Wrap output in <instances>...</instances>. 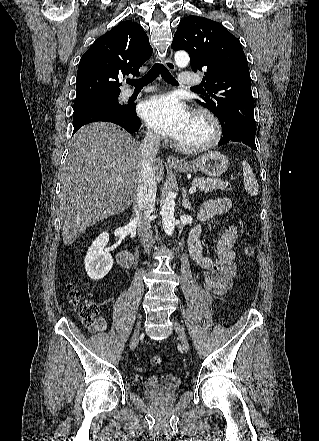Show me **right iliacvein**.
Here are the masks:
<instances>
[{
    "label": "right iliac vein",
    "instance_id": "right-iliac-vein-1",
    "mask_svg": "<svg viewBox=\"0 0 319 441\" xmlns=\"http://www.w3.org/2000/svg\"><path fill=\"white\" fill-rule=\"evenodd\" d=\"M140 330H141V317H139V321L137 322L136 328H135L134 333L132 335L131 345H137L138 340H139Z\"/></svg>",
    "mask_w": 319,
    "mask_h": 441
}]
</instances>
